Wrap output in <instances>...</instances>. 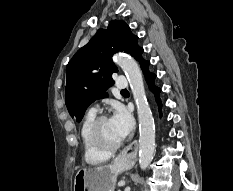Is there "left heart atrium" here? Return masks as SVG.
<instances>
[{"label":"left heart atrium","mask_w":233,"mask_h":191,"mask_svg":"<svg viewBox=\"0 0 233 191\" xmlns=\"http://www.w3.org/2000/svg\"><path fill=\"white\" fill-rule=\"evenodd\" d=\"M110 121L120 139H124L133 128V120L124 108H117Z\"/></svg>","instance_id":"1"}]
</instances>
